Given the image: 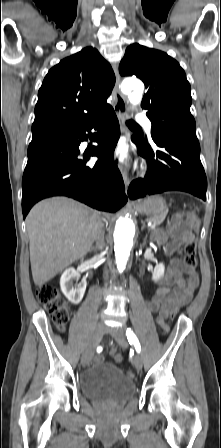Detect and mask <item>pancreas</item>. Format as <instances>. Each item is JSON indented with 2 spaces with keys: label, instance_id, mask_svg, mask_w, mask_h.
<instances>
[{
  "label": "pancreas",
  "instance_id": "1",
  "mask_svg": "<svg viewBox=\"0 0 221 448\" xmlns=\"http://www.w3.org/2000/svg\"><path fill=\"white\" fill-rule=\"evenodd\" d=\"M166 214L167 213L159 215V216L150 217V218H148V221L152 222L155 225H159L164 221Z\"/></svg>",
  "mask_w": 221,
  "mask_h": 448
}]
</instances>
